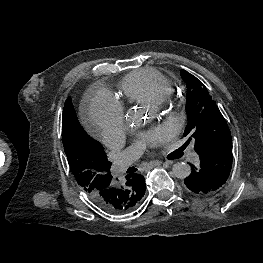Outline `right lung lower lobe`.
I'll use <instances>...</instances> for the list:
<instances>
[{
	"label": "right lung lower lobe",
	"instance_id": "1",
	"mask_svg": "<svg viewBox=\"0 0 263 263\" xmlns=\"http://www.w3.org/2000/svg\"><path fill=\"white\" fill-rule=\"evenodd\" d=\"M143 184L145 179L142 175L132 174L126 176V182L119 184L112 182V176L106 181L103 188L89 194L91 201L101 209L116 213V210L126 203L128 200L129 190L127 186L130 184Z\"/></svg>",
	"mask_w": 263,
	"mask_h": 263
}]
</instances>
